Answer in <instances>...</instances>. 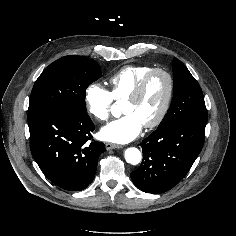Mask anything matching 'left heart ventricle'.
Returning a JSON list of instances; mask_svg holds the SVG:
<instances>
[{"label":"left heart ventricle","instance_id":"obj_1","mask_svg":"<svg viewBox=\"0 0 236 236\" xmlns=\"http://www.w3.org/2000/svg\"><path fill=\"white\" fill-rule=\"evenodd\" d=\"M167 92V81L164 75L155 74L149 80L142 96L136 101H126L123 106L125 114H136L143 124L156 118L160 112Z\"/></svg>","mask_w":236,"mask_h":236}]
</instances>
